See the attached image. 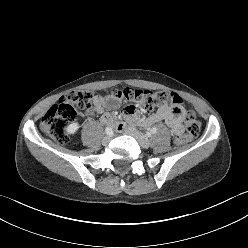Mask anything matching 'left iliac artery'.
<instances>
[{"instance_id":"44dca946","label":"left iliac artery","mask_w":248,"mask_h":248,"mask_svg":"<svg viewBox=\"0 0 248 248\" xmlns=\"http://www.w3.org/2000/svg\"><path fill=\"white\" fill-rule=\"evenodd\" d=\"M157 133V128L156 127H153L149 133H147V135H150V134H155Z\"/></svg>"}]
</instances>
